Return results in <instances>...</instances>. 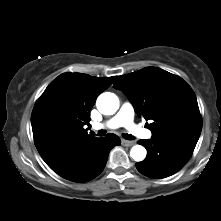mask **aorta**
<instances>
[{
    "label": "aorta",
    "instance_id": "762f6f07",
    "mask_svg": "<svg viewBox=\"0 0 221 221\" xmlns=\"http://www.w3.org/2000/svg\"><path fill=\"white\" fill-rule=\"evenodd\" d=\"M96 106L102 114L112 115L119 108V99L114 93L105 92L97 98ZM146 153V149L141 145H135L130 150V156L137 162L143 161Z\"/></svg>",
    "mask_w": 221,
    "mask_h": 221
}]
</instances>
